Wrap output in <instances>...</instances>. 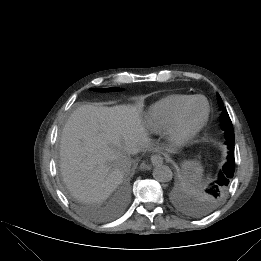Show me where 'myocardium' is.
<instances>
[{"label":"myocardium","instance_id":"f54148a6","mask_svg":"<svg viewBox=\"0 0 261 261\" xmlns=\"http://www.w3.org/2000/svg\"><path fill=\"white\" fill-rule=\"evenodd\" d=\"M203 100L205 103V112L201 120L191 129L184 130L182 127L183 117L187 108L195 101ZM210 117V104L209 101L201 95L192 96L187 100L177 111L172 123L167 129L166 136L168 141L173 146H184L194 141L199 133L206 126Z\"/></svg>","mask_w":261,"mask_h":261}]
</instances>
